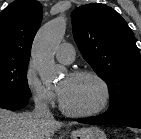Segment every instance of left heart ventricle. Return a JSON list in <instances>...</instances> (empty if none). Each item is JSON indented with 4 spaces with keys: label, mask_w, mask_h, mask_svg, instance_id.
<instances>
[{
    "label": "left heart ventricle",
    "mask_w": 141,
    "mask_h": 139,
    "mask_svg": "<svg viewBox=\"0 0 141 139\" xmlns=\"http://www.w3.org/2000/svg\"><path fill=\"white\" fill-rule=\"evenodd\" d=\"M65 105L74 111H90L97 108L103 99L100 84L91 77L73 78L65 76L58 84Z\"/></svg>",
    "instance_id": "b2bd125f"
}]
</instances>
